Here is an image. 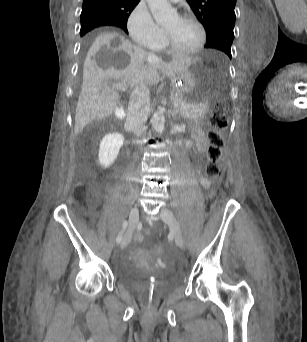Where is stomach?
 <instances>
[{
	"label": "stomach",
	"mask_w": 307,
	"mask_h": 342,
	"mask_svg": "<svg viewBox=\"0 0 307 342\" xmlns=\"http://www.w3.org/2000/svg\"><path fill=\"white\" fill-rule=\"evenodd\" d=\"M199 69V62L194 61L191 66L177 72L171 77L173 92L181 96L186 101L196 98V80Z\"/></svg>",
	"instance_id": "1"
}]
</instances>
